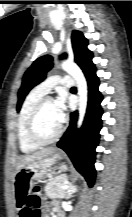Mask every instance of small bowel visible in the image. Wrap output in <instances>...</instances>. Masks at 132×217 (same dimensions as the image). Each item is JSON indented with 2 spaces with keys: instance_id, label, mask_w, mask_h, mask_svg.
<instances>
[{
  "instance_id": "obj_1",
  "label": "small bowel",
  "mask_w": 132,
  "mask_h": 217,
  "mask_svg": "<svg viewBox=\"0 0 132 217\" xmlns=\"http://www.w3.org/2000/svg\"><path fill=\"white\" fill-rule=\"evenodd\" d=\"M28 192L18 191L16 194V207L19 211V217H32L31 210L28 208L26 204V197ZM57 203H47L43 206V210L46 212L49 209L56 207ZM43 217H49L48 215H44Z\"/></svg>"
}]
</instances>
